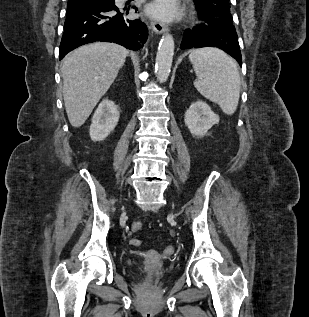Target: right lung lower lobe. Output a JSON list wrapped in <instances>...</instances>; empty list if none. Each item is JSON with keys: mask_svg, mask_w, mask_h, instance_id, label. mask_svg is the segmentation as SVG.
Here are the masks:
<instances>
[{"mask_svg": "<svg viewBox=\"0 0 309 317\" xmlns=\"http://www.w3.org/2000/svg\"><path fill=\"white\" fill-rule=\"evenodd\" d=\"M129 10L130 7L118 8L110 2L69 0L59 48L60 60L73 49L95 41L140 49L147 39L148 29L140 19H128Z\"/></svg>", "mask_w": 309, "mask_h": 317, "instance_id": "98d812e1", "label": "right lung lower lobe"}]
</instances>
